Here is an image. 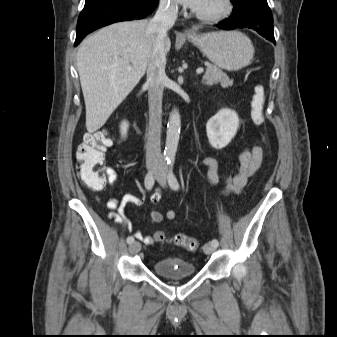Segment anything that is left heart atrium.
Wrapping results in <instances>:
<instances>
[{"label": "left heart atrium", "instance_id": "left-heart-atrium-1", "mask_svg": "<svg viewBox=\"0 0 337 337\" xmlns=\"http://www.w3.org/2000/svg\"><path fill=\"white\" fill-rule=\"evenodd\" d=\"M177 1L194 10H198L204 2V0H177Z\"/></svg>", "mask_w": 337, "mask_h": 337}]
</instances>
